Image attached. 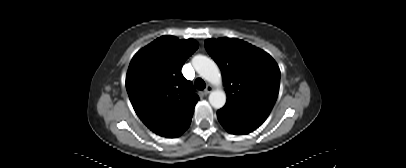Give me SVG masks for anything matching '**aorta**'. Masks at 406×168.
I'll return each instance as SVG.
<instances>
[{"instance_id":"1","label":"aorta","mask_w":406,"mask_h":168,"mask_svg":"<svg viewBox=\"0 0 406 168\" xmlns=\"http://www.w3.org/2000/svg\"><path fill=\"white\" fill-rule=\"evenodd\" d=\"M196 72L205 80L214 85H220L222 77L217 64L210 58L197 55L192 59ZM209 102L216 109L222 108L226 103V94L223 90L217 89L210 93Z\"/></svg>"}]
</instances>
